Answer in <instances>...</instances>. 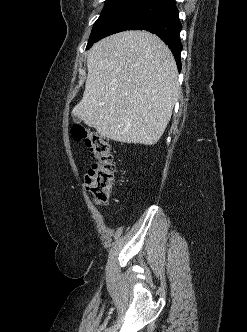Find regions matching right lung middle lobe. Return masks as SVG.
Instances as JSON below:
<instances>
[{
  "instance_id": "right-lung-middle-lobe-1",
  "label": "right lung middle lobe",
  "mask_w": 247,
  "mask_h": 332,
  "mask_svg": "<svg viewBox=\"0 0 247 332\" xmlns=\"http://www.w3.org/2000/svg\"><path fill=\"white\" fill-rule=\"evenodd\" d=\"M148 1L146 0H106L105 6L101 12L100 17L94 23L92 32L89 37V42L86 49L92 47V45L99 41V37L104 30L110 26L113 22L134 10L135 8L143 5Z\"/></svg>"
}]
</instances>
